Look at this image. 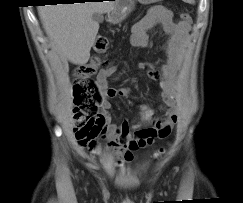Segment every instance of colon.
Here are the masks:
<instances>
[{
	"instance_id": "obj_1",
	"label": "colon",
	"mask_w": 243,
	"mask_h": 203,
	"mask_svg": "<svg viewBox=\"0 0 243 203\" xmlns=\"http://www.w3.org/2000/svg\"><path fill=\"white\" fill-rule=\"evenodd\" d=\"M180 18L189 23L191 16L187 12H181ZM109 42L104 37L96 39L93 50L94 56L90 62L79 66L75 71L74 78V120L75 135L82 146H86L91 140V130L97 115V103L101 101L102 94L92 76L100 69L109 67L106 54ZM164 149H160L158 155H163Z\"/></svg>"
}]
</instances>
